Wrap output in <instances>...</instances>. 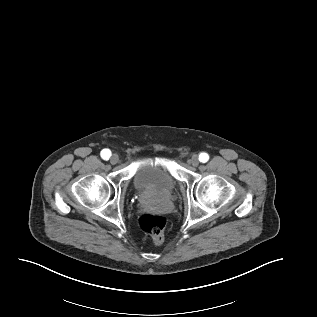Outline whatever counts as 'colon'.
I'll return each instance as SVG.
<instances>
[{
	"instance_id": "colon-1",
	"label": "colon",
	"mask_w": 317,
	"mask_h": 317,
	"mask_svg": "<svg viewBox=\"0 0 317 317\" xmlns=\"http://www.w3.org/2000/svg\"><path fill=\"white\" fill-rule=\"evenodd\" d=\"M140 228L148 235L154 244H161L164 238L166 218L157 214H143L139 219Z\"/></svg>"
}]
</instances>
